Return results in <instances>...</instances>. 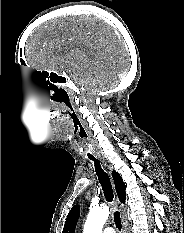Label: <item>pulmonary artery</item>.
I'll list each match as a JSON object with an SVG mask.
<instances>
[{
  "instance_id": "pulmonary-artery-1",
  "label": "pulmonary artery",
  "mask_w": 184,
  "mask_h": 233,
  "mask_svg": "<svg viewBox=\"0 0 184 233\" xmlns=\"http://www.w3.org/2000/svg\"><path fill=\"white\" fill-rule=\"evenodd\" d=\"M103 233H115V230L112 227H107L104 229Z\"/></svg>"
}]
</instances>
